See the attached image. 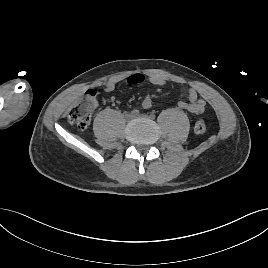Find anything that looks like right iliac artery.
<instances>
[{"mask_svg":"<svg viewBox=\"0 0 268 268\" xmlns=\"http://www.w3.org/2000/svg\"><path fill=\"white\" fill-rule=\"evenodd\" d=\"M131 113H132L133 115H138V114H139V110H138V109H133V110L131 111Z\"/></svg>","mask_w":268,"mask_h":268,"instance_id":"right-iliac-artery-1","label":"right iliac artery"}]
</instances>
